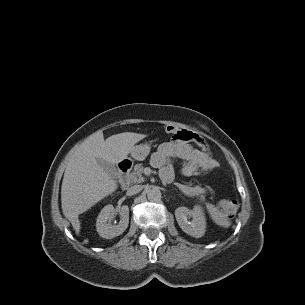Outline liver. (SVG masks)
<instances>
[{
    "label": "liver",
    "mask_w": 305,
    "mask_h": 305,
    "mask_svg": "<svg viewBox=\"0 0 305 305\" xmlns=\"http://www.w3.org/2000/svg\"><path fill=\"white\" fill-rule=\"evenodd\" d=\"M147 135L124 132L104 140L103 133L91 134L73 153L65 169L61 203L64 216L72 224L76 234L81 229L79 214L112 194L117 181L98 164L102 159L113 165L127 158L134 145Z\"/></svg>",
    "instance_id": "liver-1"
}]
</instances>
